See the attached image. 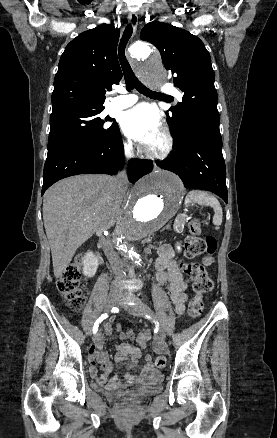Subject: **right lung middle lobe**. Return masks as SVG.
Returning <instances> with one entry per match:
<instances>
[{
  "label": "right lung middle lobe",
  "instance_id": "dd1d6c3e",
  "mask_svg": "<svg viewBox=\"0 0 277 438\" xmlns=\"http://www.w3.org/2000/svg\"><path fill=\"white\" fill-rule=\"evenodd\" d=\"M80 110L67 115H51L48 154L62 149L100 143L119 131L118 124L109 117H101L103 111Z\"/></svg>",
  "mask_w": 277,
  "mask_h": 438
}]
</instances>
